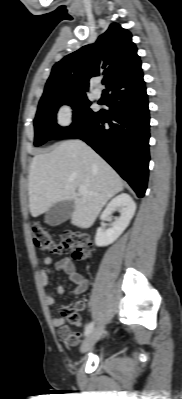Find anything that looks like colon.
<instances>
[{"label":"colon","instance_id":"colon-1","mask_svg":"<svg viewBox=\"0 0 182 399\" xmlns=\"http://www.w3.org/2000/svg\"><path fill=\"white\" fill-rule=\"evenodd\" d=\"M31 234L34 244L46 251L55 254L73 252V257L77 260H86L93 255V245L90 237L85 233L66 232L55 238L49 230L40 223H32ZM78 306L64 307L62 315L71 325L80 323Z\"/></svg>","mask_w":182,"mask_h":399}]
</instances>
